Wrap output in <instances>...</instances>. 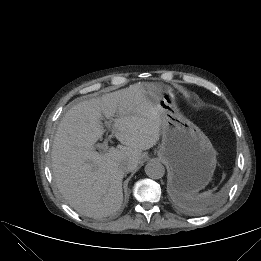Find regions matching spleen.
<instances>
[{
	"label": "spleen",
	"instance_id": "spleen-1",
	"mask_svg": "<svg viewBox=\"0 0 261 261\" xmlns=\"http://www.w3.org/2000/svg\"><path fill=\"white\" fill-rule=\"evenodd\" d=\"M211 194L212 191L209 190L201 194H182L175 197L180 204L184 205L188 209L198 210L202 206L205 199L209 198Z\"/></svg>",
	"mask_w": 261,
	"mask_h": 261
}]
</instances>
